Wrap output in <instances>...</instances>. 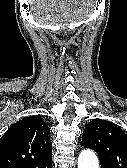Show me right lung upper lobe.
<instances>
[{"label":"right lung upper lobe","mask_w":127,"mask_h":168,"mask_svg":"<svg viewBox=\"0 0 127 168\" xmlns=\"http://www.w3.org/2000/svg\"><path fill=\"white\" fill-rule=\"evenodd\" d=\"M50 129L39 116L14 123L0 138V168H45L52 163Z\"/></svg>","instance_id":"obj_1"}]
</instances>
